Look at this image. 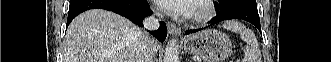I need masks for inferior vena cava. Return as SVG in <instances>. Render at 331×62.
I'll list each match as a JSON object with an SVG mask.
<instances>
[{"label":"inferior vena cava","mask_w":331,"mask_h":62,"mask_svg":"<svg viewBox=\"0 0 331 62\" xmlns=\"http://www.w3.org/2000/svg\"><path fill=\"white\" fill-rule=\"evenodd\" d=\"M155 17H147L144 19V27L148 30H157L159 28L158 18H162L161 14H156ZM154 40L149 34H143L136 44L134 62H153V48Z\"/></svg>","instance_id":"inferior-vena-cava-1"}]
</instances>
